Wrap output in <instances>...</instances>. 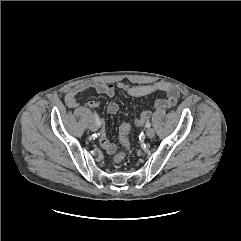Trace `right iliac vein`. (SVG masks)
<instances>
[{
    "instance_id": "right-iliac-vein-1",
    "label": "right iliac vein",
    "mask_w": 241,
    "mask_h": 241,
    "mask_svg": "<svg viewBox=\"0 0 241 241\" xmlns=\"http://www.w3.org/2000/svg\"><path fill=\"white\" fill-rule=\"evenodd\" d=\"M89 128L91 131L95 132L98 130V126L96 125V123L94 121H92L89 125Z\"/></svg>"
}]
</instances>
